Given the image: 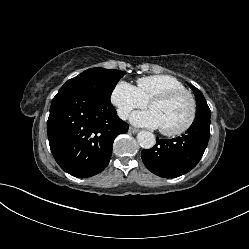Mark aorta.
Masks as SVG:
<instances>
[{
    "instance_id": "obj_1",
    "label": "aorta",
    "mask_w": 249,
    "mask_h": 249,
    "mask_svg": "<svg viewBox=\"0 0 249 249\" xmlns=\"http://www.w3.org/2000/svg\"><path fill=\"white\" fill-rule=\"evenodd\" d=\"M137 140L141 147L145 149L152 148L156 143V138L153 133L149 131H140L137 134Z\"/></svg>"
}]
</instances>
